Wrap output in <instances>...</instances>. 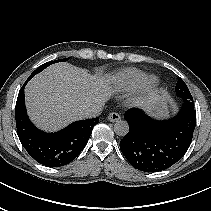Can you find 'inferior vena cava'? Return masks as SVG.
<instances>
[{
    "label": "inferior vena cava",
    "instance_id": "inferior-vena-cava-1",
    "mask_svg": "<svg viewBox=\"0 0 211 211\" xmlns=\"http://www.w3.org/2000/svg\"><path fill=\"white\" fill-rule=\"evenodd\" d=\"M102 110H103V104H96L86 109L83 112V115L85 118H95L101 114Z\"/></svg>",
    "mask_w": 211,
    "mask_h": 211
}]
</instances>
